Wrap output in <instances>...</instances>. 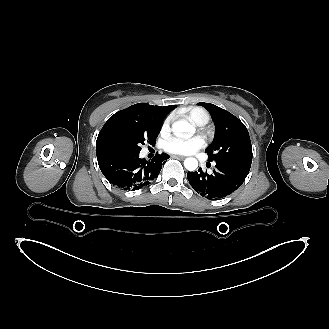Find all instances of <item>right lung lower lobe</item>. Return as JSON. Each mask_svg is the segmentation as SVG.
Returning <instances> with one entry per match:
<instances>
[{
	"label": "right lung lower lobe",
	"mask_w": 329,
	"mask_h": 329,
	"mask_svg": "<svg viewBox=\"0 0 329 329\" xmlns=\"http://www.w3.org/2000/svg\"><path fill=\"white\" fill-rule=\"evenodd\" d=\"M169 155L162 153L151 161L139 157V152H116L97 157L106 179L121 190H138L148 186L160 173Z\"/></svg>",
	"instance_id": "1"
}]
</instances>
